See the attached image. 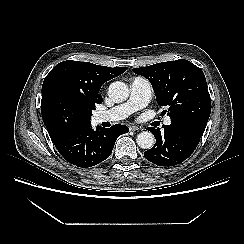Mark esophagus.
<instances>
[{"label":"esophagus","instance_id":"34e87169","mask_svg":"<svg viewBox=\"0 0 244 244\" xmlns=\"http://www.w3.org/2000/svg\"><path fill=\"white\" fill-rule=\"evenodd\" d=\"M129 130H130V131H138V130H140V128L137 127V126L131 125V126L129 127Z\"/></svg>","mask_w":244,"mask_h":244}]
</instances>
